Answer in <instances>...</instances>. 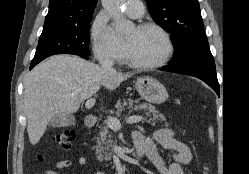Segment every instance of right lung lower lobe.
Masks as SVG:
<instances>
[{
	"mask_svg": "<svg viewBox=\"0 0 249 174\" xmlns=\"http://www.w3.org/2000/svg\"><path fill=\"white\" fill-rule=\"evenodd\" d=\"M80 57H83L85 59H88V55H79ZM40 61H35V62H31V65H30V70L39 63Z\"/></svg>",
	"mask_w": 249,
	"mask_h": 174,
	"instance_id": "right-lung-lower-lobe-1",
	"label": "right lung lower lobe"
}]
</instances>
